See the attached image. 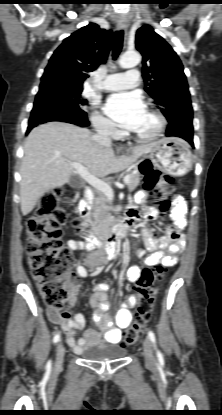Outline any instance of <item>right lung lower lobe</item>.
<instances>
[{"instance_id": "right-lung-lower-lobe-1", "label": "right lung lower lobe", "mask_w": 222, "mask_h": 415, "mask_svg": "<svg viewBox=\"0 0 222 415\" xmlns=\"http://www.w3.org/2000/svg\"><path fill=\"white\" fill-rule=\"evenodd\" d=\"M61 83L46 81L40 85L26 133L41 123L62 121L78 126L89 125L86 112L60 87Z\"/></svg>"}]
</instances>
